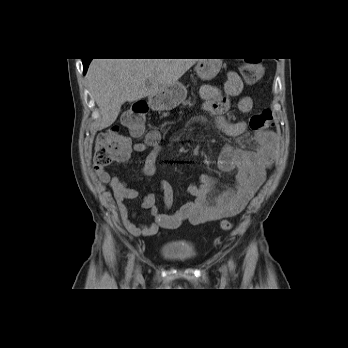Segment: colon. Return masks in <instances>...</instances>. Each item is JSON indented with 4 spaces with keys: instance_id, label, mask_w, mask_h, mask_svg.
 I'll use <instances>...</instances> for the list:
<instances>
[{
    "instance_id": "colon-1",
    "label": "colon",
    "mask_w": 348,
    "mask_h": 348,
    "mask_svg": "<svg viewBox=\"0 0 348 348\" xmlns=\"http://www.w3.org/2000/svg\"><path fill=\"white\" fill-rule=\"evenodd\" d=\"M240 71L247 83H257L264 72L262 60L259 58L243 59ZM147 112V103L144 100L136 101L123 114L122 123L134 136H142L145 130ZM271 123L272 115L267 110L253 114L249 119V125L253 130L266 129ZM159 135V132L151 131L146 135V141L155 143L159 139ZM131 149V139L121 134L117 127H112L99 134L97 138L94 155L95 165L104 168L113 162H120L128 157ZM231 227L232 225L228 220L221 223V229L224 231L230 230Z\"/></svg>"
}]
</instances>
